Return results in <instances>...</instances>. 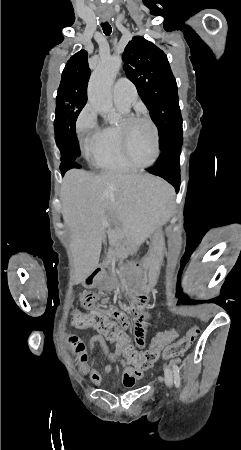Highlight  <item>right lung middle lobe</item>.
Here are the masks:
<instances>
[{
  "label": "right lung middle lobe",
  "mask_w": 241,
  "mask_h": 450,
  "mask_svg": "<svg viewBox=\"0 0 241 450\" xmlns=\"http://www.w3.org/2000/svg\"><path fill=\"white\" fill-rule=\"evenodd\" d=\"M89 79L61 82L57 97L54 130L56 141L61 152L60 170L62 175L73 166L69 163L78 158L69 157L66 154V133L71 122L76 119L87 102V82Z\"/></svg>",
  "instance_id": "1"
}]
</instances>
